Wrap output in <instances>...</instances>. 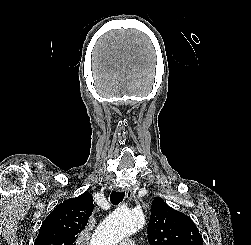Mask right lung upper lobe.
I'll use <instances>...</instances> for the list:
<instances>
[{
	"label": "right lung upper lobe",
	"instance_id": "cb5924a9",
	"mask_svg": "<svg viewBox=\"0 0 251 245\" xmlns=\"http://www.w3.org/2000/svg\"><path fill=\"white\" fill-rule=\"evenodd\" d=\"M90 193L65 200L43 221L34 245H75L93 212Z\"/></svg>",
	"mask_w": 251,
	"mask_h": 245
}]
</instances>
